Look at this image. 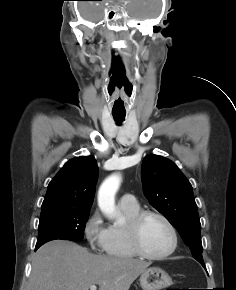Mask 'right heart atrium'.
Returning a JSON list of instances; mask_svg holds the SVG:
<instances>
[{
    "instance_id": "1",
    "label": "right heart atrium",
    "mask_w": 236,
    "mask_h": 290,
    "mask_svg": "<svg viewBox=\"0 0 236 290\" xmlns=\"http://www.w3.org/2000/svg\"><path fill=\"white\" fill-rule=\"evenodd\" d=\"M83 232L91 249L103 250L107 238V228L99 211L96 210L90 214L84 224Z\"/></svg>"
}]
</instances>
